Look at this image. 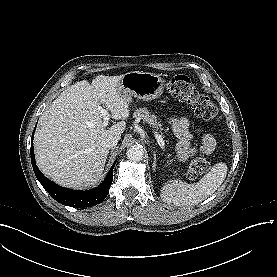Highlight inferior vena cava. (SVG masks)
I'll return each mask as SVG.
<instances>
[{
  "mask_svg": "<svg viewBox=\"0 0 277 277\" xmlns=\"http://www.w3.org/2000/svg\"><path fill=\"white\" fill-rule=\"evenodd\" d=\"M117 143H118L117 137L111 136V137H108V138L105 140L104 146H105L106 148H108V149H111V148L115 147V146L117 145Z\"/></svg>",
  "mask_w": 277,
  "mask_h": 277,
  "instance_id": "602c4592",
  "label": "inferior vena cava"
}]
</instances>
